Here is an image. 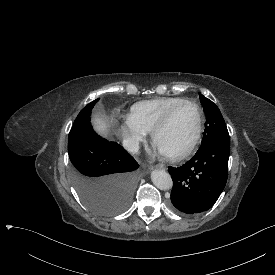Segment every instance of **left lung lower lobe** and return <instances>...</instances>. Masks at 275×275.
<instances>
[{
	"label": "left lung lower lobe",
	"instance_id": "left-lung-lower-lobe-1",
	"mask_svg": "<svg viewBox=\"0 0 275 275\" xmlns=\"http://www.w3.org/2000/svg\"><path fill=\"white\" fill-rule=\"evenodd\" d=\"M230 139L208 142L188 162L168 168L173 179L171 202L176 211L196 214L210 209L222 193L228 176Z\"/></svg>",
	"mask_w": 275,
	"mask_h": 275
}]
</instances>
